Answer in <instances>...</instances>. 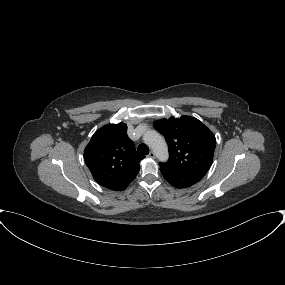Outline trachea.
<instances>
[{
  "label": "trachea",
  "mask_w": 285,
  "mask_h": 285,
  "mask_svg": "<svg viewBox=\"0 0 285 285\" xmlns=\"http://www.w3.org/2000/svg\"><path fill=\"white\" fill-rule=\"evenodd\" d=\"M138 152L142 155L149 154V148L145 144H140L138 146Z\"/></svg>",
  "instance_id": "trachea-1"
}]
</instances>
